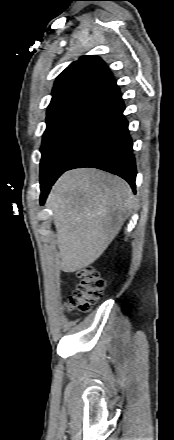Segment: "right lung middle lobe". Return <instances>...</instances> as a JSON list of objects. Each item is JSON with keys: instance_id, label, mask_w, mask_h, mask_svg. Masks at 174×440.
Instances as JSON below:
<instances>
[{"instance_id": "1", "label": "right lung middle lobe", "mask_w": 174, "mask_h": 440, "mask_svg": "<svg viewBox=\"0 0 174 440\" xmlns=\"http://www.w3.org/2000/svg\"><path fill=\"white\" fill-rule=\"evenodd\" d=\"M98 97H88L47 116L41 146L40 185H52L74 161L91 130Z\"/></svg>"}]
</instances>
